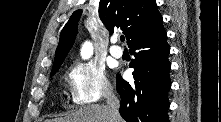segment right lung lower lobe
<instances>
[{"mask_svg":"<svg viewBox=\"0 0 221 122\" xmlns=\"http://www.w3.org/2000/svg\"><path fill=\"white\" fill-rule=\"evenodd\" d=\"M162 23L163 20L129 46L135 57L130 65L135 69L134 84H129L119 74L116 76V89L121 97L120 114L127 122H168L170 49Z\"/></svg>","mask_w":221,"mask_h":122,"instance_id":"1","label":"right lung lower lobe"}]
</instances>
